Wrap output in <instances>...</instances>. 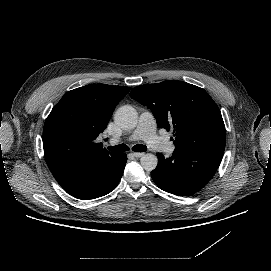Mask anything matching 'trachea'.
<instances>
[{
	"mask_svg": "<svg viewBox=\"0 0 271 271\" xmlns=\"http://www.w3.org/2000/svg\"><path fill=\"white\" fill-rule=\"evenodd\" d=\"M108 150L114 151V152H124L128 151L129 147L125 144H120L112 147H108ZM135 152H144L147 150V147L145 145L137 144L132 148Z\"/></svg>",
	"mask_w": 271,
	"mask_h": 271,
	"instance_id": "3493384b",
	"label": "trachea"
}]
</instances>
